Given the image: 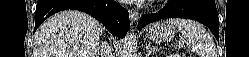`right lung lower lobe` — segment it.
Masks as SVG:
<instances>
[{
  "instance_id": "obj_1",
  "label": "right lung lower lobe",
  "mask_w": 249,
  "mask_h": 57,
  "mask_svg": "<svg viewBox=\"0 0 249 57\" xmlns=\"http://www.w3.org/2000/svg\"><path fill=\"white\" fill-rule=\"evenodd\" d=\"M66 9L88 13L100 21L109 32L123 38L130 28L129 14L121 5L111 0H38L35 28L49 16Z\"/></svg>"
}]
</instances>
